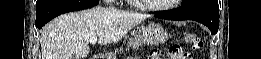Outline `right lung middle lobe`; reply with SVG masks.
<instances>
[{
	"label": "right lung middle lobe",
	"mask_w": 261,
	"mask_h": 59,
	"mask_svg": "<svg viewBox=\"0 0 261 59\" xmlns=\"http://www.w3.org/2000/svg\"><path fill=\"white\" fill-rule=\"evenodd\" d=\"M48 0H37L36 9L40 8Z\"/></svg>",
	"instance_id": "right-lung-middle-lobe-1"
}]
</instances>
